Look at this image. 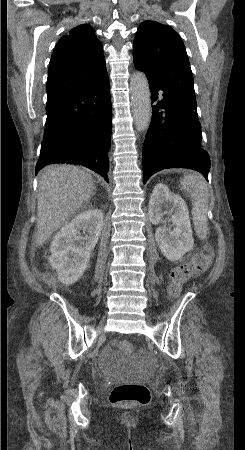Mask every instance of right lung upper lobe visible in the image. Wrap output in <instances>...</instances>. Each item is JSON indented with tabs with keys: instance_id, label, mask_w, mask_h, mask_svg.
Here are the masks:
<instances>
[{
	"instance_id": "1",
	"label": "right lung upper lobe",
	"mask_w": 245,
	"mask_h": 450,
	"mask_svg": "<svg viewBox=\"0 0 245 450\" xmlns=\"http://www.w3.org/2000/svg\"><path fill=\"white\" fill-rule=\"evenodd\" d=\"M106 70L101 42L90 25L63 36L54 49L47 78L46 108L80 89Z\"/></svg>"
}]
</instances>
